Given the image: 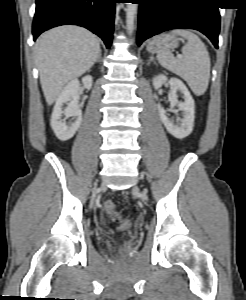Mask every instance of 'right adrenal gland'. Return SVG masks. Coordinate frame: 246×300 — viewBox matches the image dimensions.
Listing matches in <instances>:
<instances>
[{
  "mask_svg": "<svg viewBox=\"0 0 246 300\" xmlns=\"http://www.w3.org/2000/svg\"><path fill=\"white\" fill-rule=\"evenodd\" d=\"M101 51L99 52V55H98V57H97V59H96V62H99L100 61V59H101Z\"/></svg>",
  "mask_w": 246,
  "mask_h": 300,
  "instance_id": "obj_1",
  "label": "right adrenal gland"
}]
</instances>
